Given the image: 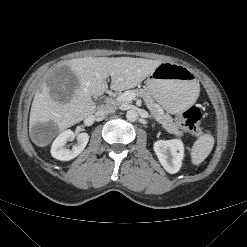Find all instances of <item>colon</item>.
<instances>
[{"mask_svg":"<svg viewBox=\"0 0 247 247\" xmlns=\"http://www.w3.org/2000/svg\"><path fill=\"white\" fill-rule=\"evenodd\" d=\"M201 112L198 107L192 106L177 117L179 126L191 134L202 136L206 132L200 127Z\"/></svg>","mask_w":247,"mask_h":247,"instance_id":"colon-1","label":"colon"}]
</instances>
